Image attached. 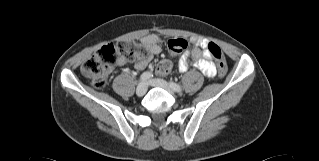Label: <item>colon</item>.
<instances>
[{"instance_id": "1", "label": "colon", "mask_w": 319, "mask_h": 161, "mask_svg": "<svg viewBox=\"0 0 319 161\" xmlns=\"http://www.w3.org/2000/svg\"><path fill=\"white\" fill-rule=\"evenodd\" d=\"M187 48L188 44L185 40L170 41L168 43V49L172 53H183ZM140 51L141 48L135 47L131 41L110 43L92 55L82 65L81 73L95 88H104L107 84L108 73L116 65L118 57L121 56L125 60L130 61ZM208 51L216 60L219 77H224L227 73V67L222 50L215 43H209ZM158 68L163 71H169L170 63L168 61H161Z\"/></svg>"}]
</instances>
